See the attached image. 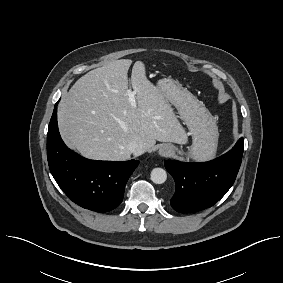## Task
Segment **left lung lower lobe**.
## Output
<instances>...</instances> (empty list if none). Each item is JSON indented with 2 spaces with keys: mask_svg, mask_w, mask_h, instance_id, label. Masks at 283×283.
<instances>
[{
  "mask_svg": "<svg viewBox=\"0 0 283 283\" xmlns=\"http://www.w3.org/2000/svg\"><path fill=\"white\" fill-rule=\"evenodd\" d=\"M243 138L226 154L204 163L166 160L165 167L176 184L170 203L180 213H193L213 206L233 185L243 155Z\"/></svg>",
  "mask_w": 283,
  "mask_h": 283,
  "instance_id": "1",
  "label": "left lung lower lobe"
}]
</instances>
